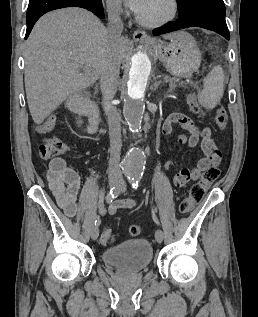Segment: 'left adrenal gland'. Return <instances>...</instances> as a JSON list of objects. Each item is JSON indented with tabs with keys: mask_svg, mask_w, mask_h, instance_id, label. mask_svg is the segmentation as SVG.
Masks as SVG:
<instances>
[{
	"mask_svg": "<svg viewBox=\"0 0 258 317\" xmlns=\"http://www.w3.org/2000/svg\"><path fill=\"white\" fill-rule=\"evenodd\" d=\"M152 90H156V88H152Z\"/></svg>",
	"mask_w": 258,
	"mask_h": 317,
	"instance_id": "obj_1",
	"label": "left adrenal gland"
}]
</instances>
